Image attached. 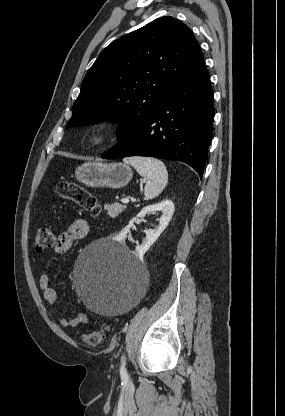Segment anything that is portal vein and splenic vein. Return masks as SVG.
<instances>
[{
    "label": "portal vein and splenic vein",
    "mask_w": 285,
    "mask_h": 416,
    "mask_svg": "<svg viewBox=\"0 0 285 416\" xmlns=\"http://www.w3.org/2000/svg\"><path fill=\"white\" fill-rule=\"evenodd\" d=\"M143 182H146V180H143ZM123 204H128L130 202L129 198H123L122 200Z\"/></svg>",
    "instance_id": "obj_1"
}]
</instances>
